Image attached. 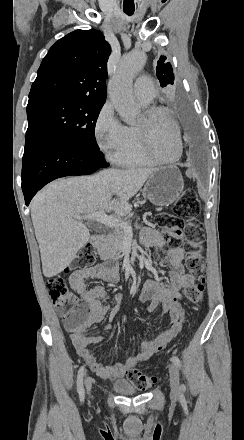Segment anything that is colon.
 <instances>
[{
  "label": "colon",
  "instance_id": "1",
  "mask_svg": "<svg viewBox=\"0 0 244 440\" xmlns=\"http://www.w3.org/2000/svg\"><path fill=\"white\" fill-rule=\"evenodd\" d=\"M200 206L193 189L186 190L176 203L173 213H160L156 222L164 230V237L172 248L183 247L185 264L196 284L190 287L185 296L190 302L201 303L205 295V265L202 258V242L204 228L198 219ZM94 248H80L79 256L74 261L75 272H86L88 258L94 257ZM45 285L49 291L56 312L63 317L69 329L81 330L90 312L88 304H79L77 297L71 292L64 279L59 276L46 278ZM128 381L138 386H145L155 379L152 373H141L134 368L127 376Z\"/></svg>",
  "mask_w": 244,
  "mask_h": 440
}]
</instances>
